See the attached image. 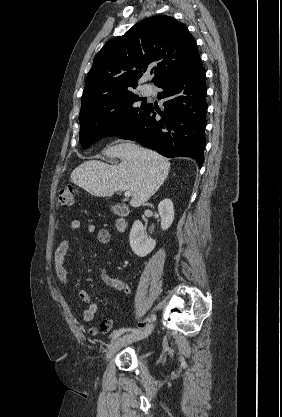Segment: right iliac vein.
Here are the masks:
<instances>
[{
    "label": "right iliac vein",
    "mask_w": 282,
    "mask_h": 417,
    "mask_svg": "<svg viewBox=\"0 0 282 417\" xmlns=\"http://www.w3.org/2000/svg\"><path fill=\"white\" fill-rule=\"evenodd\" d=\"M152 328H153V326L150 325L142 331H139V332L133 333V334H126V335L118 338L116 341H114L109 346V349L106 353V360H109L111 357H113L125 345H127L129 343H132L134 341H138V340L148 336L151 333Z\"/></svg>",
    "instance_id": "right-iliac-vein-1"
}]
</instances>
